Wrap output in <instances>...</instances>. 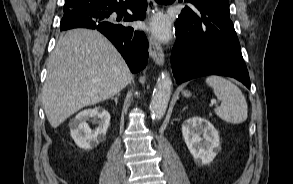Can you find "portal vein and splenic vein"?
Wrapping results in <instances>:
<instances>
[{
	"mask_svg": "<svg viewBox=\"0 0 293 184\" xmlns=\"http://www.w3.org/2000/svg\"><path fill=\"white\" fill-rule=\"evenodd\" d=\"M216 104V100H211V104H210V106H213V105H215Z\"/></svg>",
	"mask_w": 293,
	"mask_h": 184,
	"instance_id": "portal-vein-and-splenic-vein-1",
	"label": "portal vein and splenic vein"
}]
</instances>
